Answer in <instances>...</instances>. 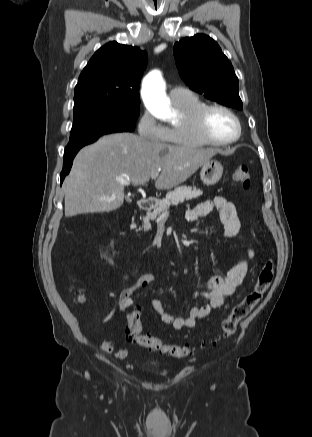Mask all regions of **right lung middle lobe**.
Instances as JSON below:
<instances>
[{
	"instance_id": "obj_1",
	"label": "right lung middle lobe",
	"mask_w": 312,
	"mask_h": 437,
	"mask_svg": "<svg viewBox=\"0 0 312 437\" xmlns=\"http://www.w3.org/2000/svg\"><path fill=\"white\" fill-rule=\"evenodd\" d=\"M140 104L93 103L74 107V124L65 154L78 151L104 134L132 132Z\"/></svg>"
}]
</instances>
